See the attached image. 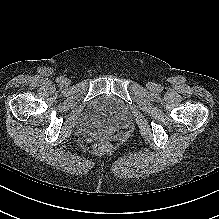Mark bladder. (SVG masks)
<instances>
[{
	"label": "bladder",
	"instance_id": "obj_1",
	"mask_svg": "<svg viewBox=\"0 0 219 219\" xmlns=\"http://www.w3.org/2000/svg\"><path fill=\"white\" fill-rule=\"evenodd\" d=\"M129 108L114 96L92 100L80 115L79 127L86 135H106L122 126L129 117Z\"/></svg>",
	"mask_w": 219,
	"mask_h": 219
}]
</instances>
